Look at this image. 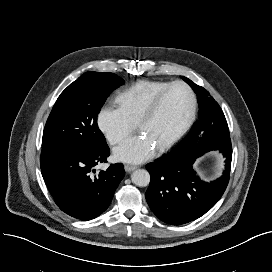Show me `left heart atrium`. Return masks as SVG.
I'll return each instance as SVG.
<instances>
[{
	"label": "left heart atrium",
	"mask_w": 272,
	"mask_h": 272,
	"mask_svg": "<svg viewBox=\"0 0 272 272\" xmlns=\"http://www.w3.org/2000/svg\"><path fill=\"white\" fill-rule=\"evenodd\" d=\"M155 145L145 135H137L128 138L114 150L117 160L137 164L151 158L155 152Z\"/></svg>",
	"instance_id": "left-heart-atrium-1"
}]
</instances>
